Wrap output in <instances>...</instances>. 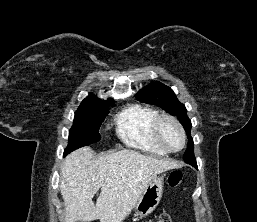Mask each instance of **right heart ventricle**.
Returning a JSON list of instances; mask_svg holds the SVG:
<instances>
[{
  "label": "right heart ventricle",
  "mask_w": 257,
  "mask_h": 222,
  "mask_svg": "<svg viewBox=\"0 0 257 222\" xmlns=\"http://www.w3.org/2000/svg\"><path fill=\"white\" fill-rule=\"evenodd\" d=\"M159 113L155 109L133 104L122 110L116 118L117 133L122 141L138 150L165 155L153 135V125Z\"/></svg>",
  "instance_id": "right-heart-ventricle-1"
}]
</instances>
